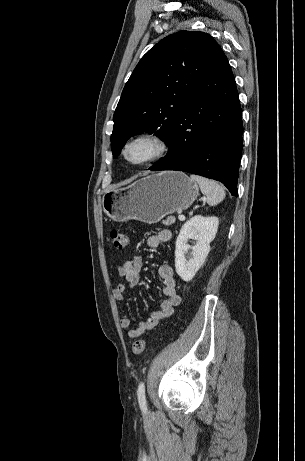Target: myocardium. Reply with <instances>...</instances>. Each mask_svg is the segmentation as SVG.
I'll use <instances>...</instances> for the list:
<instances>
[{
  "instance_id": "obj_1",
  "label": "myocardium",
  "mask_w": 305,
  "mask_h": 461,
  "mask_svg": "<svg viewBox=\"0 0 305 461\" xmlns=\"http://www.w3.org/2000/svg\"><path fill=\"white\" fill-rule=\"evenodd\" d=\"M140 142L149 144L152 147V151L147 157L139 161H131L127 157V150L131 145L140 143ZM168 150H169L168 141L162 134H160L159 132H155V131H144V132H140L130 137L123 144L122 149H121V156L127 164L131 166H135V167H141V166H145V165L151 164L159 160L160 158L166 155Z\"/></svg>"
}]
</instances>
